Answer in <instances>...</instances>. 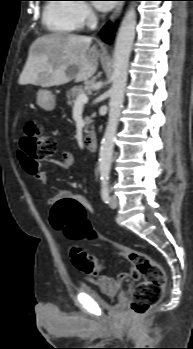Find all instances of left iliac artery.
<instances>
[{
	"instance_id": "left-iliac-artery-1",
	"label": "left iliac artery",
	"mask_w": 193,
	"mask_h": 349,
	"mask_svg": "<svg viewBox=\"0 0 193 349\" xmlns=\"http://www.w3.org/2000/svg\"><path fill=\"white\" fill-rule=\"evenodd\" d=\"M109 183L104 181L102 182V188H101V197L105 203H109L110 197H109Z\"/></svg>"
}]
</instances>
